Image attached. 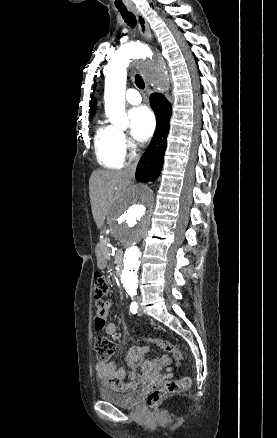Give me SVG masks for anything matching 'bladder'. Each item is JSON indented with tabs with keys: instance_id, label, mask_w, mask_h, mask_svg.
I'll return each instance as SVG.
<instances>
[{
	"instance_id": "bladder-1",
	"label": "bladder",
	"mask_w": 277,
	"mask_h": 438,
	"mask_svg": "<svg viewBox=\"0 0 277 438\" xmlns=\"http://www.w3.org/2000/svg\"><path fill=\"white\" fill-rule=\"evenodd\" d=\"M98 396L103 402H109L119 408L133 409L140 402L141 391L131 390L128 393L123 394L109 388H104L99 389Z\"/></svg>"
}]
</instances>
